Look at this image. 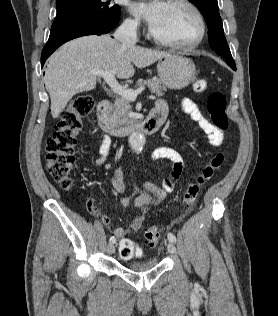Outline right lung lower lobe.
Returning <instances> with one entry per match:
<instances>
[{"instance_id": "98d812e1", "label": "right lung lower lobe", "mask_w": 278, "mask_h": 316, "mask_svg": "<svg viewBox=\"0 0 278 316\" xmlns=\"http://www.w3.org/2000/svg\"><path fill=\"white\" fill-rule=\"evenodd\" d=\"M119 17L120 15L110 19L93 18L52 28L49 39L42 51L41 66L43 67L46 59L59 46L69 40L86 35H99L110 32L118 24Z\"/></svg>"}]
</instances>
